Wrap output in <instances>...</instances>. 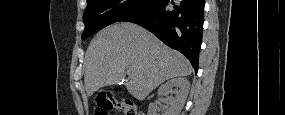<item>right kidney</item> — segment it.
I'll return each mask as SVG.
<instances>
[{
	"label": "right kidney",
	"mask_w": 285,
	"mask_h": 115,
	"mask_svg": "<svg viewBox=\"0 0 285 115\" xmlns=\"http://www.w3.org/2000/svg\"><path fill=\"white\" fill-rule=\"evenodd\" d=\"M173 87H178L179 90L175 97L168 96ZM190 88V83L186 78H174L161 85L158 90L159 97H167L168 106L163 110L162 115H179L187 98ZM159 107L156 104H150L148 115H158Z\"/></svg>",
	"instance_id": "obj_1"
}]
</instances>
